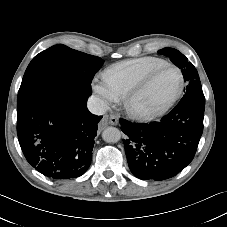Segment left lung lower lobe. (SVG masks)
<instances>
[{"instance_id": "0a47b994", "label": "left lung lower lobe", "mask_w": 227, "mask_h": 227, "mask_svg": "<svg viewBox=\"0 0 227 227\" xmlns=\"http://www.w3.org/2000/svg\"><path fill=\"white\" fill-rule=\"evenodd\" d=\"M205 104L187 102L159 122L132 123L120 119L129 168L145 180H165L182 171L194 158L203 132Z\"/></svg>"}]
</instances>
